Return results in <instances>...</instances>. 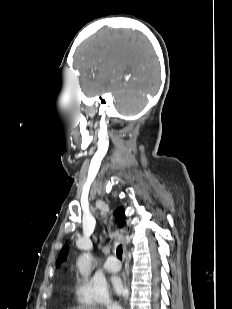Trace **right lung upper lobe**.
<instances>
[{"label": "right lung upper lobe", "mask_w": 232, "mask_h": 309, "mask_svg": "<svg viewBox=\"0 0 232 309\" xmlns=\"http://www.w3.org/2000/svg\"><path fill=\"white\" fill-rule=\"evenodd\" d=\"M115 215L116 218L118 220L119 226L122 227L125 225V220H124V210L122 207L118 208L115 211ZM67 253H68V248L66 246H64L58 256V259L56 261V266H59L63 261L66 260L67 257Z\"/></svg>", "instance_id": "1"}]
</instances>
